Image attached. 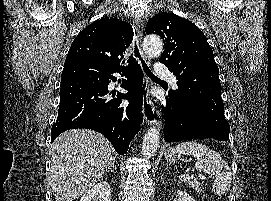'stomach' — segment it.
Segmentation results:
<instances>
[{
	"label": "stomach",
	"instance_id": "stomach-1",
	"mask_svg": "<svg viewBox=\"0 0 271 201\" xmlns=\"http://www.w3.org/2000/svg\"><path fill=\"white\" fill-rule=\"evenodd\" d=\"M181 154H178L175 152V150L173 148H169L166 152H165V157L167 160L169 161H175L177 159L180 158Z\"/></svg>",
	"mask_w": 271,
	"mask_h": 201
}]
</instances>
